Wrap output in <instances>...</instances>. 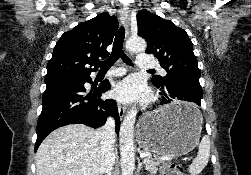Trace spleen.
<instances>
[{
    "label": "spleen",
    "instance_id": "1",
    "mask_svg": "<svg viewBox=\"0 0 251 175\" xmlns=\"http://www.w3.org/2000/svg\"><path fill=\"white\" fill-rule=\"evenodd\" d=\"M195 113L196 115H201L199 109H195ZM209 157H210V137L209 135H203L199 143L198 153L195 159H193L192 163H190L188 167L190 175H198V173H200V171L204 169L205 165H207Z\"/></svg>",
    "mask_w": 251,
    "mask_h": 175
}]
</instances>
